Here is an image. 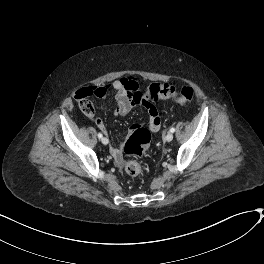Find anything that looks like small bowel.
I'll list each match as a JSON object with an SVG mask.
<instances>
[{"label":"small bowel","instance_id":"c3829d8e","mask_svg":"<svg viewBox=\"0 0 264 264\" xmlns=\"http://www.w3.org/2000/svg\"><path fill=\"white\" fill-rule=\"evenodd\" d=\"M112 89L115 92L116 99V108L115 114L117 115H126L133 108L132 95L140 89L139 81L132 77H125L115 80L111 84ZM94 96L100 99H105L107 96V87L102 86L95 89ZM148 110V119L144 123L152 132H155L159 129L160 126V117L157 112V109L152 106H147ZM97 127L102 130L105 134H108V128L103 121H97ZM137 124L130 126L125 130L126 134H131L134 131V128ZM123 143L113 145L110 148V153L114 158L117 165H122L124 162V155L122 152Z\"/></svg>","mask_w":264,"mask_h":264}]
</instances>
